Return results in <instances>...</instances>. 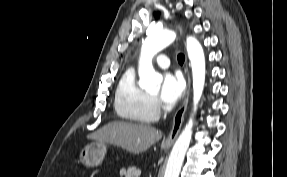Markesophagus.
<instances>
[{
	"label": "esophagus",
	"instance_id": "esophagus-1",
	"mask_svg": "<svg viewBox=\"0 0 287 177\" xmlns=\"http://www.w3.org/2000/svg\"><path fill=\"white\" fill-rule=\"evenodd\" d=\"M179 31L180 34H182V28L179 27ZM190 87H191V78L189 73L187 74V89H186V96L184 99L183 104L181 105V107L179 108V110L176 112L175 116H174V120H173V126L171 129L170 134L166 137V139L163 140V145L168 146V145H172L173 142L175 141V139L177 138L183 120H184V114L187 110V106H188V101H189V95H190Z\"/></svg>",
	"mask_w": 287,
	"mask_h": 177
}]
</instances>
